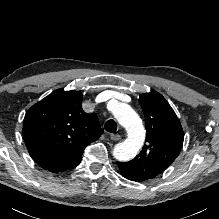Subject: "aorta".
<instances>
[{
    "instance_id": "obj_1",
    "label": "aorta",
    "mask_w": 219,
    "mask_h": 219,
    "mask_svg": "<svg viewBox=\"0 0 219 219\" xmlns=\"http://www.w3.org/2000/svg\"><path fill=\"white\" fill-rule=\"evenodd\" d=\"M113 114L128 133L127 139L114 147L113 155L119 161H128L141 149L145 140V129L138 114L128 104L118 103Z\"/></svg>"
}]
</instances>
